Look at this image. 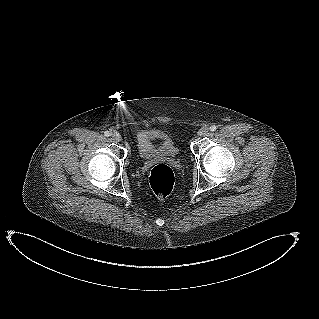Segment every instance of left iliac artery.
Returning <instances> with one entry per match:
<instances>
[{
	"label": "left iliac artery",
	"mask_w": 319,
	"mask_h": 319,
	"mask_svg": "<svg viewBox=\"0 0 319 319\" xmlns=\"http://www.w3.org/2000/svg\"><path fill=\"white\" fill-rule=\"evenodd\" d=\"M210 130H211V131H215V130H216V126H215V125H211V126H210Z\"/></svg>",
	"instance_id": "left-iliac-artery-1"
}]
</instances>
